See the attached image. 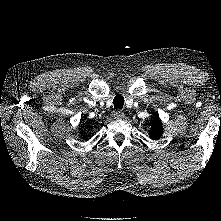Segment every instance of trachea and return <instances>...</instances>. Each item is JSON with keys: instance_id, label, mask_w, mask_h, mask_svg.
<instances>
[{"instance_id": "1", "label": "trachea", "mask_w": 221, "mask_h": 221, "mask_svg": "<svg viewBox=\"0 0 221 221\" xmlns=\"http://www.w3.org/2000/svg\"><path fill=\"white\" fill-rule=\"evenodd\" d=\"M113 104L115 108L121 109L124 105V98L121 95H116L113 100Z\"/></svg>"}]
</instances>
